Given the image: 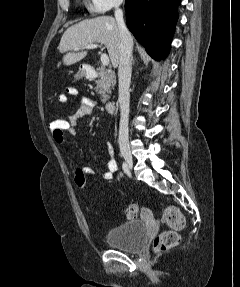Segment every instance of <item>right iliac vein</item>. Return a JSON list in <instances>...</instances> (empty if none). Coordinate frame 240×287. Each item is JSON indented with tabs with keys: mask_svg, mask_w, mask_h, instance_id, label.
I'll return each instance as SVG.
<instances>
[{
	"mask_svg": "<svg viewBox=\"0 0 240 287\" xmlns=\"http://www.w3.org/2000/svg\"><path fill=\"white\" fill-rule=\"evenodd\" d=\"M121 153H122V156H123L128 168L132 169L133 158H132V155H131V152L129 151V149H122Z\"/></svg>",
	"mask_w": 240,
	"mask_h": 287,
	"instance_id": "1",
	"label": "right iliac vein"
}]
</instances>
